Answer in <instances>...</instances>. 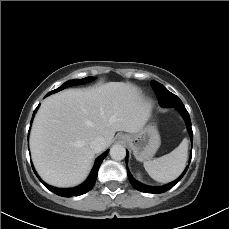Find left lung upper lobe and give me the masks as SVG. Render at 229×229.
<instances>
[{
    "label": "left lung upper lobe",
    "instance_id": "left-lung-upper-lobe-1",
    "mask_svg": "<svg viewBox=\"0 0 229 229\" xmlns=\"http://www.w3.org/2000/svg\"><path fill=\"white\" fill-rule=\"evenodd\" d=\"M151 86L159 100V103L165 107H176L183 104L182 101L173 93L168 91L162 84L151 81Z\"/></svg>",
    "mask_w": 229,
    "mask_h": 229
}]
</instances>
